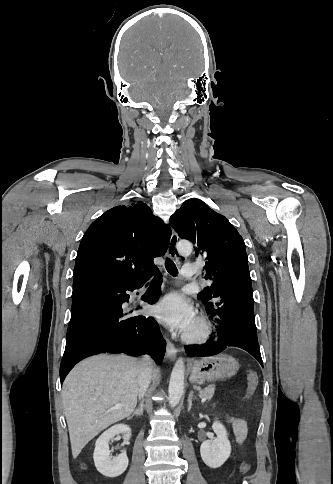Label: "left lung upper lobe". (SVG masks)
Masks as SVG:
<instances>
[{"label": "left lung upper lobe", "instance_id": "1", "mask_svg": "<svg viewBox=\"0 0 333 484\" xmlns=\"http://www.w3.org/2000/svg\"><path fill=\"white\" fill-rule=\"evenodd\" d=\"M182 239L192 241L197 255L205 257V278L214 281L216 272L230 262L248 264L245 243L234 226L221 214L197 200L186 201L170 218ZM241 275H244L241 272ZM217 285L204 288L198 298L205 304L215 298ZM215 300H217L215 298Z\"/></svg>", "mask_w": 333, "mask_h": 484}]
</instances>
